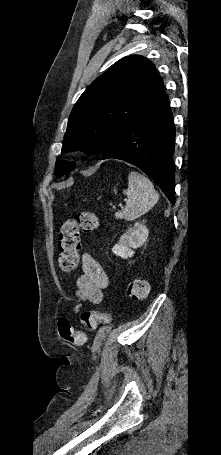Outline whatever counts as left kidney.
<instances>
[{
	"mask_svg": "<svg viewBox=\"0 0 221 455\" xmlns=\"http://www.w3.org/2000/svg\"><path fill=\"white\" fill-rule=\"evenodd\" d=\"M147 238L148 229L143 223L137 222L120 237L119 242L112 248V252L123 259L131 258L135 253L132 249L142 246Z\"/></svg>",
	"mask_w": 221,
	"mask_h": 455,
	"instance_id": "1",
	"label": "left kidney"
}]
</instances>
